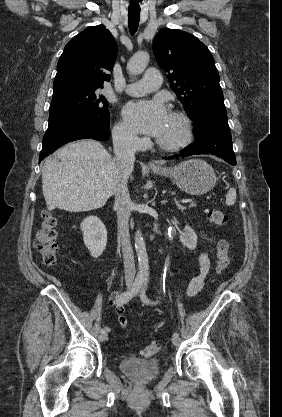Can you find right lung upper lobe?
<instances>
[{"mask_svg":"<svg viewBox=\"0 0 282 417\" xmlns=\"http://www.w3.org/2000/svg\"><path fill=\"white\" fill-rule=\"evenodd\" d=\"M117 56V43L103 26H90L71 39L57 64L54 92L75 88H103L110 81ZM53 92V93H54Z\"/></svg>","mask_w":282,"mask_h":417,"instance_id":"cb5924a9","label":"right lung upper lobe"}]
</instances>
